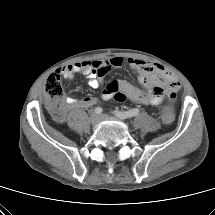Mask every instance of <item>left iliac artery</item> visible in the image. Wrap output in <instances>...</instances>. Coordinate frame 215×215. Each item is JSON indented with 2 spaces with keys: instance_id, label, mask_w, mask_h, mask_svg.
Returning a JSON list of instances; mask_svg holds the SVG:
<instances>
[{
  "instance_id": "44dca946",
  "label": "left iliac artery",
  "mask_w": 215,
  "mask_h": 215,
  "mask_svg": "<svg viewBox=\"0 0 215 215\" xmlns=\"http://www.w3.org/2000/svg\"><path fill=\"white\" fill-rule=\"evenodd\" d=\"M140 110L137 109V108H133L129 111H115V115L120 118V119H128V118H132V117H135L139 114Z\"/></svg>"
}]
</instances>
